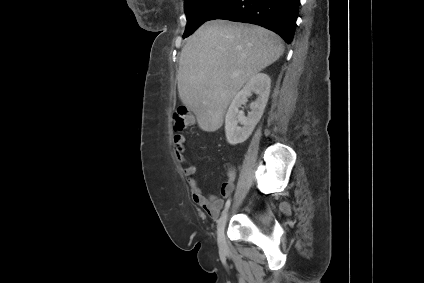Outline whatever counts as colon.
Returning <instances> with one entry per match:
<instances>
[{
    "label": "colon",
    "mask_w": 424,
    "mask_h": 283,
    "mask_svg": "<svg viewBox=\"0 0 424 283\" xmlns=\"http://www.w3.org/2000/svg\"><path fill=\"white\" fill-rule=\"evenodd\" d=\"M173 129L176 132L184 131L190 124L188 109L185 106H180L173 113Z\"/></svg>",
    "instance_id": "colon-1"
}]
</instances>
